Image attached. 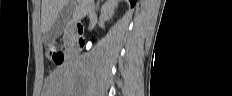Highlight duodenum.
Instances as JSON below:
<instances>
[{
    "label": "duodenum",
    "instance_id": "obj_1",
    "mask_svg": "<svg viewBox=\"0 0 232 96\" xmlns=\"http://www.w3.org/2000/svg\"><path fill=\"white\" fill-rule=\"evenodd\" d=\"M83 27L81 24L69 25L64 29V35L70 43L65 51L67 60L74 59L84 49V40L82 38Z\"/></svg>",
    "mask_w": 232,
    "mask_h": 96
}]
</instances>
